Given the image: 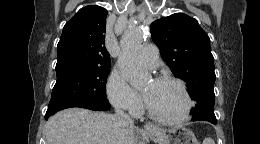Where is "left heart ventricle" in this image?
I'll list each match as a JSON object with an SVG mask.
<instances>
[{
	"label": "left heart ventricle",
	"instance_id": "obj_1",
	"mask_svg": "<svg viewBox=\"0 0 260 144\" xmlns=\"http://www.w3.org/2000/svg\"><path fill=\"white\" fill-rule=\"evenodd\" d=\"M143 92L155 113L168 118H178L184 114L186 99L178 86L150 81L144 86Z\"/></svg>",
	"mask_w": 260,
	"mask_h": 144
}]
</instances>
